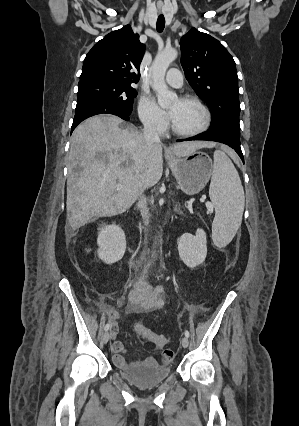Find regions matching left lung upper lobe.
<instances>
[{"label": "left lung upper lobe", "instance_id": "obj_1", "mask_svg": "<svg viewBox=\"0 0 299 426\" xmlns=\"http://www.w3.org/2000/svg\"><path fill=\"white\" fill-rule=\"evenodd\" d=\"M185 77L212 113L209 131L240 136L236 65L226 48L212 36L192 28L180 40Z\"/></svg>", "mask_w": 299, "mask_h": 426}]
</instances>
